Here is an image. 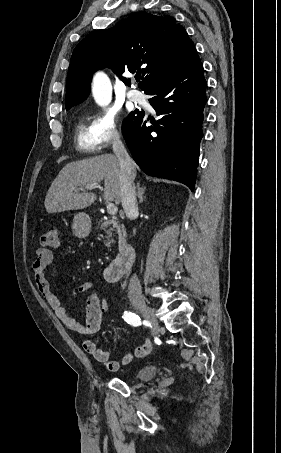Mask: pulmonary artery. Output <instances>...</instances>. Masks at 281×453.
<instances>
[{"mask_svg": "<svg viewBox=\"0 0 281 453\" xmlns=\"http://www.w3.org/2000/svg\"><path fill=\"white\" fill-rule=\"evenodd\" d=\"M126 95L129 100H131L135 103H141V104L145 105L148 109H151L150 102H149L147 96L143 92H141L137 89H130L127 91Z\"/></svg>", "mask_w": 281, "mask_h": 453, "instance_id": "1", "label": "pulmonary artery"}]
</instances>
